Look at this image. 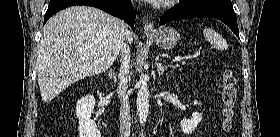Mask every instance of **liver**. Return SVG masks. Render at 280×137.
I'll use <instances>...</instances> for the list:
<instances>
[{"instance_id":"1","label":"liver","mask_w":280,"mask_h":137,"mask_svg":"<svg viewBox=\"0 0 280 137\" xmlns=\"http://www.w3.org/2000/svg\"><path fill=\"white\" fill-rule=\"evenodd\" d=\"M124 23L89 6L68 7L43 28L37 50V75L43 102L53 100L78 80L106 71L125 40Z\"/></svg>"}]
</instances>
